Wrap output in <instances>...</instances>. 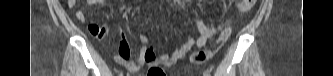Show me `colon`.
Wrapping results in <instances>:
<instances>
[{"mask_svg":"<svg viewBox=\"0 0 333 76\" xmlns=\"http://www.w3.org/2000/svg\"><path fill=\"white\" fill-rule=\"evenodd\" d=\"M255 0H242L238 2V7L239 10L241 11H248L250 9H252V7L255 4ZM231 31L230 29H225L219 36L218 40H217V45L218 46H222L230 37ZM212 51L210 50H201L197 53H195L191 60L192 62H194L195 64H202L204 62H206L207 60H209L212 56Z\"/></svg>","mask_w":333,"mask_h":76,"instance_id":"5ec220e1","label":"colon"}]
</instances>
